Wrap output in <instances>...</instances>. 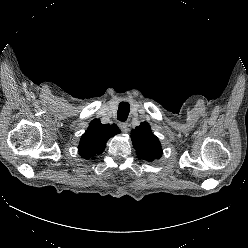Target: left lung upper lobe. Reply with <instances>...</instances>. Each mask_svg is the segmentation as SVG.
<instances>
[{"instance_id": "5c2ea615", "label": "left lung upper lobe", "mask_w": 248, "mask_h": 248, "mask_svg": "<svg viewBox=\"0 0 248 248\" xmlns=\"http://www.w3.org/2000/svg\"><path fill=\"white\" fill-rule=\"evenodd\" d=\"M133 147L137 156L148 162L159 159L162 155L159 139L152 133L147 122L141 123L131 132Z\"/></svg>"}]
</instances>
